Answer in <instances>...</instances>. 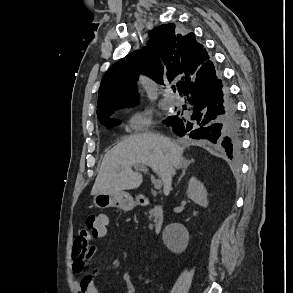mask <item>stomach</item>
Here are the masks:
<instances>
[{
  "mask_svg": "<svg viewBox=\"0 0 293 293\" xmlns=\"http://www.w3.org/2000/svg\"><path fill=\"white\" fill-rule=\"evenodd\" d=\"M93 204L100 209L116 207L124 211L132 210L135 206L132 196L124 191L116 194H96L93 198Z\"/></svg>",
  "mask_w": 293,
  "mask_h": 293,
  "instance_id": "0dacf381",
  "label": "stomach"
}]
</instances>
